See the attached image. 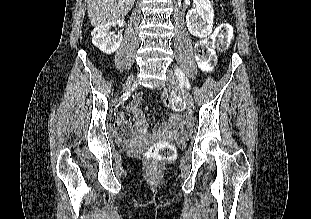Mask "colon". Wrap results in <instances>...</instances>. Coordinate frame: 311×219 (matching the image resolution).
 I'll return each mask as SVG.
<instances>
[{"label": "colon", "mask_w": 311, "mask_h": 219, "mask_svg": "<svg viewBox=\"0 0 311 219\" xmlns=\"http://www.w3.org/2000/svg\"><path fill=\"white\" fill-rule=\"evenodd\" d=\"M232 29L228 23H220L216 26L210 37L200 41L195 48L196 59L201 65L210 66L214 62L213 48L225 51L232 40ZM166 104L172 109L179 108L178 102L170 97H166ZM124 132V129H120ZM174 146L169 142H157L146 151V158L149 161L150 169L156 170L160 164L174 156Z\"/></svg>", "instance_id": "obj_1"}]
</instances>
